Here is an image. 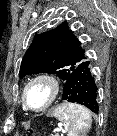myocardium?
<instances>
[{
  "instance_id": "myocardium-1",
  "label": "myocardium",
  "mask_w": 117,
  "mask_h": 136,
  "mask_svg": "<svg viewBox=\"0 0 117 136\" xmlns=\"http://www.w3.org/2000/svg\"><path fill=\"white\" fill-rule=\"evenodd\" d=\"M37 82H43L49 87L50 96H49L47 103L42 108L33 109L28 105L26 95H27V91L30 88V86ZM59 93H60V82L58 78L49 73H40V74L35 75L31 79H29L27 83L25 84L22 90V95H21L22 105L24 109L29 112H34V113L44 112L53 104V102L58 97Z\"/></svg>"
}]
</instances>
